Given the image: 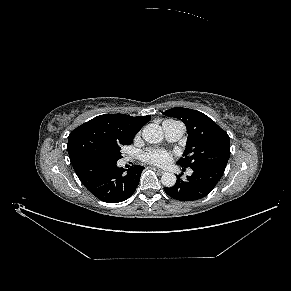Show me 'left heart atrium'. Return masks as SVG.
Here are the masks:
<instances>
[{
    "label": "left heart atrium",
    "mask_w": 291,
    "mask_h": 291,
    "mask_svg": "<svg viewBox=\"0 0 291 291\" xmlns=\"http://www.w3.org/2000/svg\"><path fill=\"white\" fill-rule=\"evenodd\" d=\"M142 157L146 162L156 165H165L171 159L170 153L162 149H149L143 153Z\"/></svg>",
    "instance_id": "left-heart-atrium-1"
}]
</instances>
